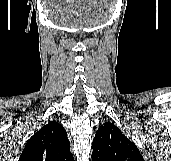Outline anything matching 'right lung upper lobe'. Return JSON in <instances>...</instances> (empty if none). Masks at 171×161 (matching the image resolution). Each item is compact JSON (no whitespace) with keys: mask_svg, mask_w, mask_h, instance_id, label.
Instances as JSON below:
<instances>
[{"mask_svg":"<svg viewBox=\"0 0 171 161\" xmlns=\"http://www.w3.org/2000/svg\"><path fill=\"white\" fill-rule=\"evenodd\" d=\"M19 161H74L63 126L50 121L26 143Z\"/></svg>","mask_w":171,"mask_h":161,"instance_id":"1","label":"right lung upper lobe"}]
</instances>
